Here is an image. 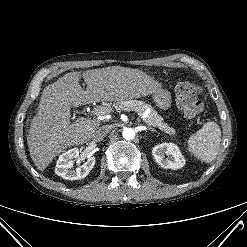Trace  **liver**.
<instances>
[{"instance_id": "obj_1", "label": "liver", "mask_w": 247, "mask_h": 247, "mask_svg": "<svg viewBox=\"0 0 247 247\" xmlns=\"http://www.w3.org/2000/svg\"><path fill=\"white\" fill-rule=\"evenodd\" d=\"M81 77L87 90L79 84ZM157 88L158 84L141 70L120 66L65 74L43 90L31 122L27 143L34 165L45 170L66 148L83 143L99 128V121L91 118L81 117L71 123V106L140 98Z\"/></svg>"}]
</instances>
